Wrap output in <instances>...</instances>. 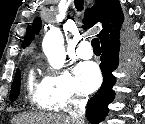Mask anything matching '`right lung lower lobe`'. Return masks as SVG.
<instances>
[{"instance_id":"1","label":"right lung lower lobe","mask_w":145,"mask_h":124,"mask_svg":"<svg viewBox=\"0 0 145 124\" xmlns=\"http://www.w3.org/2000/svg\"><path fill=\"white\" fill-rule=\"evenodd\" d=\"M120 32L109 35L101 41V64L103 83L98 92L89 100L86 110L87 119L92 124H98L108 114V104L115 98L112 87L116 78L112 75L119 64Z\"/></svg>"}]
</instances>
